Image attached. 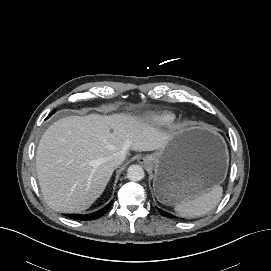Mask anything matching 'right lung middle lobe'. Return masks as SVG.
<instances>
[{
    "instance_id": "obj_1",
    "label": "right lung middle lobe",
    "mask_w": 271,
    "mask_h": 271,
    "mask_svg": "<svg viewBox=\"0 0 271 271\" xmlns=\"http://www.w3.org/2000/svg\"><path fill=\"white\" fill-rule=\"evenodd\" d=\"M54 112H55V110H53L52 113L49 114L47 118H49Z\"/></svg>"
}]
</instances>
